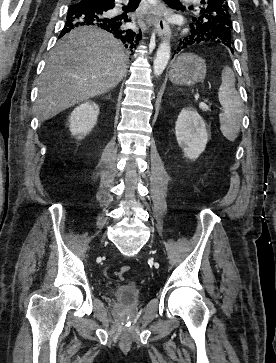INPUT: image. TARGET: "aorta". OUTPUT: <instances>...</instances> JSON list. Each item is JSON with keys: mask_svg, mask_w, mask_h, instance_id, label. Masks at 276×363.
<instances>
[{"mask_svg": "<svg viewBox=\"0 0 276 363\" xmlns=\"http://www.w3.org/2000/svg\"><path fill=\"white\" fill-rule=\"evenodd\" d=\"M171 54L170 44L166 41H163L157 50L156 57L153 63V72L155 76H159L165 70Z\"/></svg>", "mask_w": 276, "mask_h": 363, "instance_id": "obj_1", "label": "aorta"}]
</instances>
